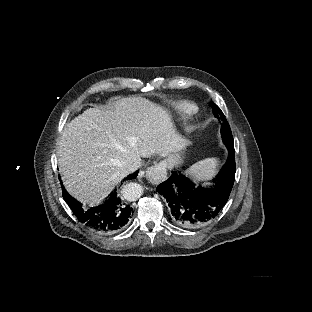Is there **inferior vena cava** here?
<instances>
[{
  "label": "inferior vena cava",
  "mask_w": 312,
  "mask_h": 312,
  "mask_svg": "<svg viewBox=\"0 0 312 312\" xmlns=\"http://www.w3.org/2000/svg\"><path fill=\"white\" fill-rule=\"evenodd\" d=\"M141 166H142L141 158L134 159V161L127 167V174L135 172Z\"/></svg>",
  "instance_id": "obj_1"
}]
</instances>
